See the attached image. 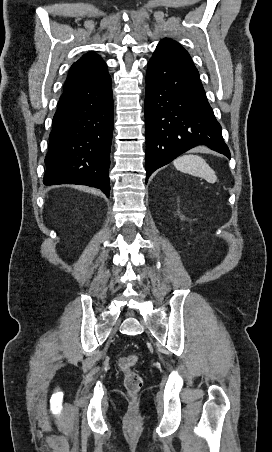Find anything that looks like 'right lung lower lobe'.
Returning <instances> with one entry per match:
<instances>
[{"mask_svg":"<svg viewBox=\"0 0 272 452\" xmlns=\"http://www.w3.org/2000/svg\"><path fill=\"white\" fill-rule=\"evenodd\" d=\"M112 134L110 76L95 85L64 92L53 118L43 183L88 185L108 197Z\"/></svg>","mask_w":272,"mask_h":452,"instance_id":"right-lung-lower-lobe-1","label":"right lung lower lobe"}]
</instances>
